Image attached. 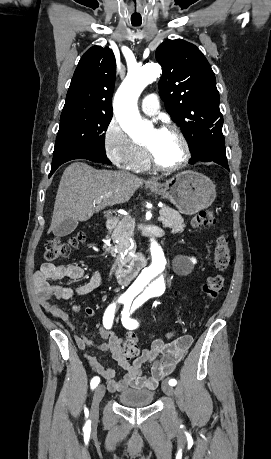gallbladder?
Here are the masks:
<instances>
[{
	"label": "gallbladder",
	"mask_w": 271,
	"mask_h": 459,
	"mask_svg": "<svg viewBox=\"0 0 271 459\" xmlns=\"http://www.w3.org/2000/svg\"><path fill=\"white\" fill-rule=\"evenodd\" d=\"M78 226L77 220H66V222H62L56 228H53L54 235H58V237H62V235H68L71 231H74Z\"/></svg>",
	"instance_id": "1"
}]
</instances>
